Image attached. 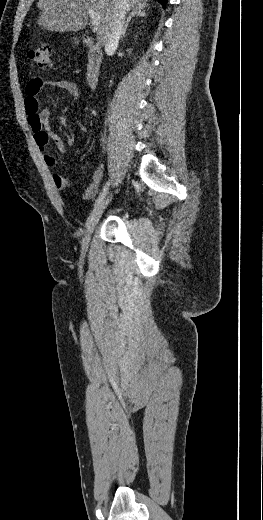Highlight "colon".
<instances>
[{"label": "colon", "mask_w": 263, "mask_h": 520, "mask_svg": "<svg viewBox=\"0 0 263 520\" xmlns=\"http://www.w3.org/2000/svg\"><path fill=\"white\" fill-rule=\"evenodd\" d=\"M52 49L50 45L42 43L29 51L28 56L31 61L41 68L51 67Z\"/></svg>", "instance_id": "1"}]
</instances>
